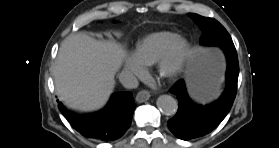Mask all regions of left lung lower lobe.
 Masks as SVG:
<instances>
[{"label":"left lung lower lobe","instance_id":"left-lung-lower-lobe-1","mask_svg":"<svg viewBox=\"0 0 279 148\" xmlns=\"http://www.w3.org/2000/svg\"><path fill=\"white\" fill-rule=\"evenodd\" d=\"M227 59V86L222 96L215 102L201 106L189 98L185 83L178 81L170 89L178 99V112L168 121V128L179 139L190 140L210 133L230 111L237 92L239 63L233 42L220 46Z\"/></svg>","mask_w":279,"mask_h":148}]
</instances>
